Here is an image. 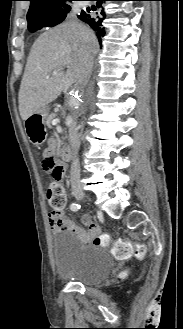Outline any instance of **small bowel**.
I'll return each instance as SVG.
<instances>
[{
	"label": "small bowel",
	"mask_w": 183,
	"mask_h": 329,
	"mask_svg": "<svg viewBox=\"0 0 183 329\" xmlns=\"http://www.w3.org/2000/svg\"><path fill=\"white\" fill-rule=\"evenodd\" d=\"M56 151L57 142L55 140H49L44 150V156L51 155L55 157ZM47 219L48 224L54 233H57L59 231L74 232L79 235V237L84 243H90L91 238L90 236L86 235L79 227H87V225H89L91 232L94 235L92 237V241L96 237V234L99 232V227L95 223H93L88 216L83 217V220H78V227L63 212L56 213L52 211L48 214Z\"/></svg>",
	"instance_id": "1"
}]
</instances>
